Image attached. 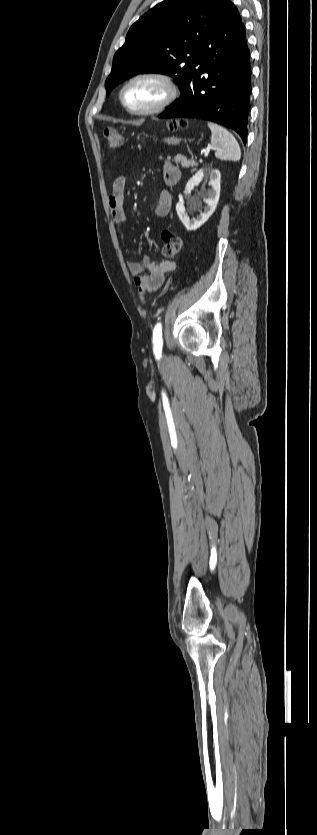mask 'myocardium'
<instances>
[{
	"label": "myocardium",
	"instance_id": "1",
	"mask_svg": "<svg viewBox=\"0 0 317 835\" xmlns=\"http://www.w3.org/2000/svg\"><path fill=\"white\" fill-rule=\"evenodd\" d=\"M139 80H152L156 82L160 87L163 89V96L162 98L157 101L152 107L143 109V110H136L131 108L124 100V92L125 90L134 82ZM179 89L175 81L168 75L154 72V71H147V72H140L133 76H131L128 80L124 82L119 90V100L124 109L132 115L136 116H151L156 115L163 112L167 109L178 97Z\"/></svg>",
	"mask_w": 317,
	"mask_h": 835
}]
</instances>
